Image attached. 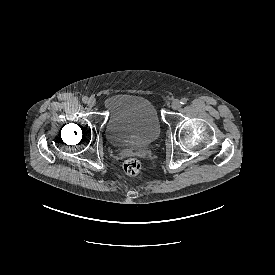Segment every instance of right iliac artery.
I'll return each mask as SVG.
<instances>
[{
  "label": "right iliac artery",
  "instance_id": "obj_1",
  "mask_svg": "<svg viewBox=\"0 0 275 275\" xmlns=\"http://www.w3.org/2000/svg\"><path fill=\"white\" fill-rule=\"evenodd\" d=\"M88 100H89V98H88L87 96L83 97V99H82V101H83L84 103H87Z\"/></svg>",
  "mask_w": 275,
  "mask_h": 275
}]
</instances>
